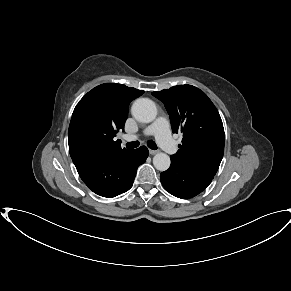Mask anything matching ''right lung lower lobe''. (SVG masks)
Returning a JSON list of instances; mask_svg holds the SVG:
<instances>
[{
  "label": "right lung lower lobe",
  "instance_id": "1",
  "mask_svg": "<svg viewBox=\"0 0 291 291\" xmlns=\"http://www.w3.org/2000/svg\"><path fill=\"white\" fill-rule=\"evenodd\" d=\"M70 155L81 179L89 189L100 196L111 198L131 188L137 168L148 157V149L141 146L111 158L79 151Z\"/></svg>",
  "mask_w": 291,
  "mask_h": 291
}]
</instances>
